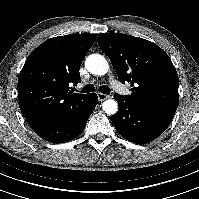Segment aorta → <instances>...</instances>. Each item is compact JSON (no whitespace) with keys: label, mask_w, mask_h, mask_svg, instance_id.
Listing matches in <instances>:
<instances>
[{"label":"aorta","mask_w":199,"mask_h":199,"mask_svg":"<svg viewBox=\"0 0 199 199\" xmlns=\"http://www.w3.org/2000/svg\"><path fill=\"white\" fill-rule=\"evenodd\" d=\"M87 70L95 75H104L108 72V62L100 54L89 55L85 61ZM103 111L109 115H113L118 111V104L113 99H108L102 104Z\"/></svg>","instance_id":"obj_1"}]
</instances>
